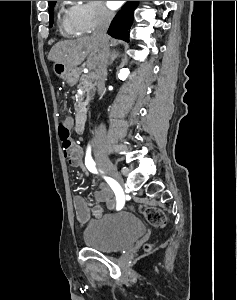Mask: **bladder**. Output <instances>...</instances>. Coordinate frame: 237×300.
I'll use <instances>...</instances> for the list:
<instances>
[{
    "label": "bladder",
    "mask_w": 237,
    "mask_h": 300,
    "mask_svg": "<svg viewBox=\"0 0 237 300\" xmlns=\"http://www.w3.org/2000/svg\"><path fill=\"white\" fill-rule=\"evenodd\" d=\"M144 232L140 219L129 211L91 220L83 229L84 244L102 252H117L129 248Z\"/></svg>",
    "instance_id": "obj_1"
}]
</instances>
